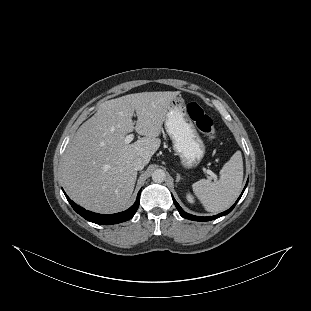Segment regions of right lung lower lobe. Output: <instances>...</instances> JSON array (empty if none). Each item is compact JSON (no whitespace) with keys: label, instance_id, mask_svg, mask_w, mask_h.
Segmentation results:
<instances>
[{"label":"right lung lower lobe","instance_id":"right-lung-lower-lobe-1","mask_svg":"<svg viewBox=\"0 0 311 311\" xmlns=\"http://www.w3.org/2000/svg\"><path fill=\"white\" fill-rule=\"evenodd\" d=\"M140 192L141 190L139 191L137 195L136 202L128 210L124 212L116 213V214H110V215H102V214L94 213L91 211H87L84 208L78 206L72 200H70V198L66 195L65 192L64 194L67 200L69 201V203L71 204V206L73 207V209L78 214H80L83 218L96 224L110 225V224H117V223L127 221L134 216L139 206Z\"/></svg>","mask_w":311,"mask_h":311}]
</instances>
